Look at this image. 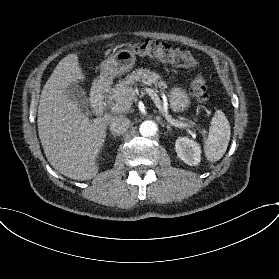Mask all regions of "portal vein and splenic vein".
<instances>
[{
	"label": "portal vein and splenic vein",
	"mask_w": 279,
	"mask_h": 279,
	"mask_svg": "<svg viewBox=\"0 0 279 279\" xmlns=\"http://www.w3.org/2000/svg\"><path fill=\"white\" fill-rule=\"evenodd\" d=\"M145 91L149 94V96L153 99L154 103L156 104L157 108L165 115L166 120L175 127L184 128L187 127L188 124L182 123L178 120H175L168 114L167 108L165 106L162 107L161 101L159 96L154 92L151 88H145ZM113 110V109H112ZM114 111V110H113Z\"/></svg>",
	"instance_id": "1"
}]
</instances>
